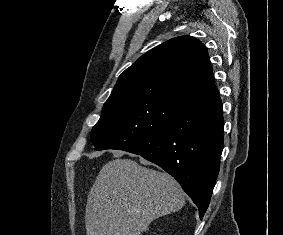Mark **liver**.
<instances>
[{
    "mask_svg": "<svg viewBox=\"0 0 283 235\" xmlns=\"http://www.w3.org/2000/svg\"><path fill=\"white\" fill-rule=\"evenodd\" d=\"M121 155L101 168L90 190L87 235H141L153 220L185 204L184 192L172 176Z\"/></svg>",
    "mask_w": 283,
    "mask_h": 235,
    "instance_id": "1",
    "label": "liver"
}]
</instances>
